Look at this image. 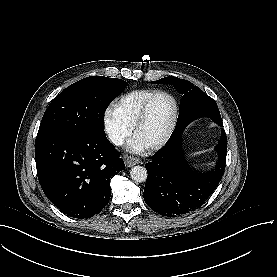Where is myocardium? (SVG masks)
Instances as JSON below:
<instances>
[{"mask_svg":"<svg viewBox=\"0 0 277 277\" xmlns=\"http://www.w3.org/2000/svg\"><path fill=\"white\" fill-rule=\"evenodd\" d=\"M157 96H165L173 102L174 108H173L172 118H171L168 130L166 131L165 135L159 141H157L155 143H151V144H144L138 139V130H139V127H140L145 115H146V112L148 110V107H149L150 103ZM177 118H178V105H177V102H176L175 98L167 92L157 91V92L153 93L148 98V100L146 101V103H145L144 107L142 108L140 114L136 118V121H135L134 127H133L132 137H133L134 140H139L143 144V147L146 150L158 149V148L162 147L170 139V137H171V135L174 131V128H175V125H176V122H177Z\"/></svg>","mask_w":277,"mask_h":277,"instance_id":"obj_1","label":"myocardium"}]
</instances>
